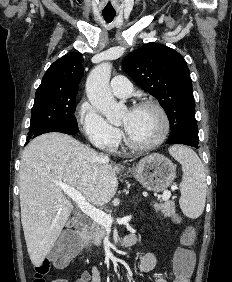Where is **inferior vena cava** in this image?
<instances>
[{
  "instance_id": "602c4592",
  "label": "inferior vena cava",
  "mask_w": 232,
  "mask_h": 282,
  "mask_svg": "<svg viewBox=\"0 0 232 282\" xmlns=\"http://www.w3.org/2000/svg\"><path fill=\"white\" fill-rule=\"evenodd\" d=\"M99 158L101 159V160H109V158H108V156H103V155H100L99 156Z\"/></svg>"
}]
</instances>
